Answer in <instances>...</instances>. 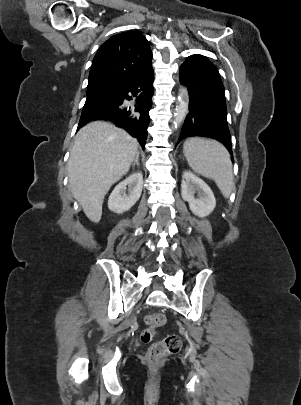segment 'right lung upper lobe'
<instances>
[{"mask_svg":"<svg viewBox=\"0 0 301 405\" xmlns=\"http://www.w3.org/2000/svg\"><path fill=\"white\" fill-rule=\"evenodd\" d=\"M152 61L145 36L122 32L110 37L96 53L89 74L88 90L118 92Z\"/></svg>","mask_w":301,"mask_h":405,"instance_id":"cb5924a9","label":"right lung upper lobe"}]
</instances>
